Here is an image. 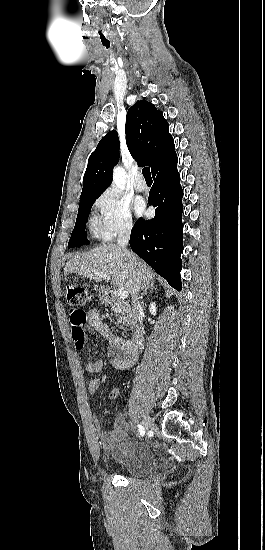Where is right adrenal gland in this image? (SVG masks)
<instances>
[{"mask_svg": "<svg viewBox=\"0 0 265 550\" xmlns=\"http://www.w3.org/2000/svg\"><path fill=\"white\" fill-rule=\"evenodd\" d=\"M149 289H151V290L155 289L154 281L151 282L148 286H146V287L143 288V291H142V293H141V295H140V299H141V300L143 299V296L147 293V291H148ZM142 303H143V301H142Z\"/></svg>", "mask_w": 265, "mask_h": 550, "instance_id": "obj_1", "label": "right adrenal gland"}]
</instances>
